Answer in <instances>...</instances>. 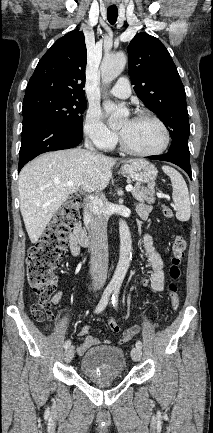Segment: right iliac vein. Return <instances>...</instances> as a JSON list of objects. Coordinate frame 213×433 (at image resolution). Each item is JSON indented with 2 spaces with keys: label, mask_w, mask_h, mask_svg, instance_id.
Segmentation results:
<instances>
[{
  "label": "right iliac vein",
  "mask_w": 213,
  "mask_h": 433,
  "mask_svg": "<svg viewBox=\"0 0 213 433\" xmlns=\"http://www.w3.org/2000/svg\"><path fill=\"white\" fill-rule=\"evenodd\" d=\"M74 357V347H69L64 352V360L66 363H70Z\"/></svg>",
  "instance_id": "63e3f726"
}]
</instances>
